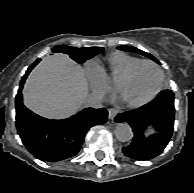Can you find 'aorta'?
<instances>
[{"label": "aorta", "instance_id": "762f6f07", "mask_svg": "<svg viewBox=\"0 0 194 193\" xmlns=\"http://www.w3.org/2000/svg\"><path fill=\"white\" fill-rule=\"evenodd\" d=\"M114 133L116 138L121 142H127L133 137V131L127 123H119Z\"/></svg>", "mask_w": 194, "mask_h": 193}]
</instances>
